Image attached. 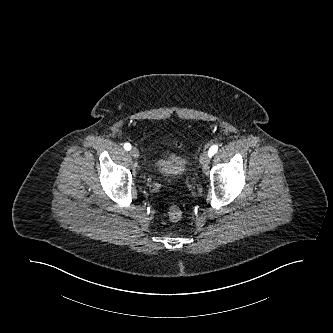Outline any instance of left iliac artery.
<instances>
[{"label": "left iliac artery", "instance_id": "1", "mask_svg": "<svg viewBox=\"0 0 333 333\" xmlns=\"http://www.w3.org/2000/svg\"><path fill=\"white\" fill-rule=\"evenodd\" d=\"M218 150V146L217 145H212L208 151L210 157L213 156Z\"/></svg>", "mask_w": 333, "mask_h": 333}]
</instances>
